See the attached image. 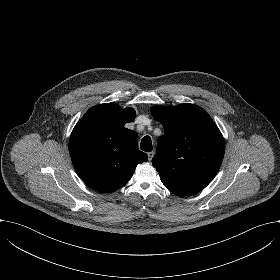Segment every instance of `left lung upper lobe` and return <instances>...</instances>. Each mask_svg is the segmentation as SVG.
<instances>
[{"mask_svg": "<svg viewBox=\"0 0 280 280\" xmlns=\"http://www.w3.org/2000/svg\"><path fill=\"white\" fill-rule=\"evenodd\" d=\"M151 112L165 132L152 159L161 181L179 196L201 191L215 177L224 157L220 130L208 113L194 104L154 106Z\"/></svg>", "mask_w": 280, "mask_h": 280, "instance_id": "obj_1", "label": "left lung upper lobe"}]
</instances>
